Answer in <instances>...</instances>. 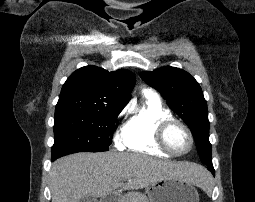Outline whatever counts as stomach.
Here are the masks:
<instances>
[{
  "label": "stomach",
  "mask_w": 255,
  "mask_h": 202,
  "mask_svg": "<svg viewBox=\"0 0 255 202\" xmlns=\"http://www.w3.org/2000/svg\"><path fill=\"white\" fill-rule=\"evenodd\" d=\"M146 193L149 202H199L195 187L179 178L162 179L149 186Z\"/></svg>",
  "instance_id": "1"
}]
</instances>
